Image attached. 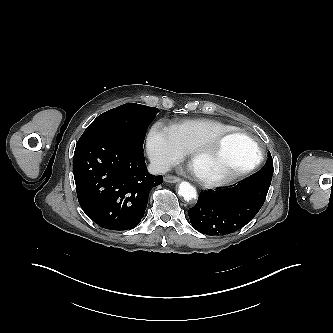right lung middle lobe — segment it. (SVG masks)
Returning a JSON list of instances; mask_svg holds the SVG:
<instances>
[{
	"instance_id": "obj_1",
	"label": "right lung middle lobe",
	"mask_w": 333,
	"mask_h": 333,
	"mask_svg": "<svg viewBox=\"0 0 333 333\" xmlns=\"http://www.w3.org/2000/svg\"><path fill=\"white\" fill-rule=\"evenodd\" d=\"M158 112L155 107L127 103L98 116L81 137L108 135L143 144L146 129Z\"/></svg>"
}]
</instances>
